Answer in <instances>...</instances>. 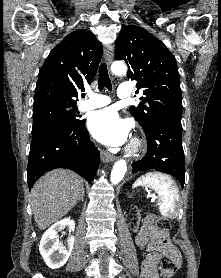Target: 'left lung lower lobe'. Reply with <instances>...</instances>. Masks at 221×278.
I'll use <instances>...</instances> for the list:
<instances>
[{
  "mask_svg": "<svg viewBox=\"0 0 221 278\" xmlns=\"http://www.w3.org/2000/svg\"><path fill=\"white\" fill-rule=\"evenodd\" d=\"M145 132L148 150L145 157L132 164V172L157 170L176 177L184 186V151L182 125L176 120H160Z\"/></svg>",
  "mask_w": 221,
  "mask_h": 278,
  "instance_id": "obj_1",
  "label": "left lung lower lobe"
}]
</instances>
